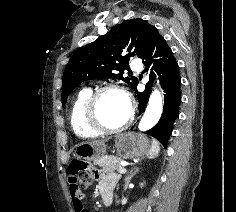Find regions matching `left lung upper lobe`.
<instances>
[{
    "instance_id": "left-lung-upper-lobe-1",
    "label": "left lung upper lobe",
    "mask_w": 236,
    "mask_h": 212,
    "mask_svg": "<svg viewBox=\"0 0 236 212\" xmlns=\"http://www.w3.org/2000/svg\"><path fill=\"white\" fill-rule=\"evenodd\" d=\"M153 28V25L142 19L126 20L79 49L63 73L62 105L70 93L86 80L118 79L135 89L138 79L124 78V70L128 68L130 57H143Z\"/></svg>"
}]
</instances>
